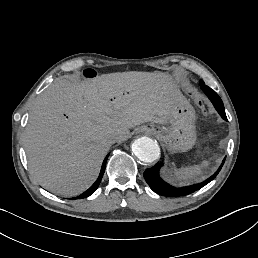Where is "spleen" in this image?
<instances>
[{"mask_svg":"<svg viewBox=\"0 0 258 258\" xmlns=\"http://www.w3.org/2000/svg\"><path fill=\"white\" fill-rule=\"evenodd\" d=\"M209 164L210 162L208 160H204L200 164L175 170L174 175L178 180L189 182L197 176L202 175L203 169H206Z\"/></svg>","mask_w":258,"mask_h":258,"instance_id":"1","label":"spleen"}]
</instances>
